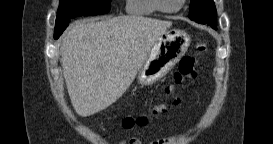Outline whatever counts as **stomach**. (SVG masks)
<instances>
[{"label":"stomach","instance_id":"0dacf381","mask_svg":"<svg viewBox=\"0 0 273 144\" xmlns=\"http://www.w3.org/2000/svg\"><path fill=\"white\" fill-rule=\"evenodd\" d=\"M190 36L180 29L166 30L152 46L138 71V83L152 85L163 78L186 53Z\"/></svg>","mask_w":273,"mask_h":144}]
</instances>
